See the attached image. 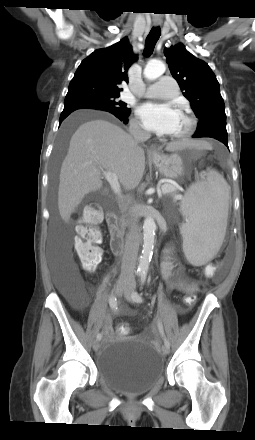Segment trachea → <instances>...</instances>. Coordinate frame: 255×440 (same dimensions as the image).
I'll use <instances>...</instances> for the list:
<instances>
[{
	"mask_svg": "<svg viewBox=\"0 0 255 440\" xmlns=\"http://www.w3.org/2000/svg\"><path fill=\"white\" fill-rule=\"evenodd\" d=\"M161 35L160 27H153L146 38L144 55L150 56L154 50V46Z\"/></svg>",
	"mask_w": 255,
	"mask_h": 440,
	"instance_id": "3493384b",
	"label": "trachea"
}]
</instances>
